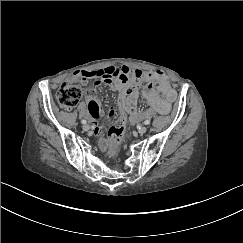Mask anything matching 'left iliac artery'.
Wrapping results in <instances>:
<instances>
[{"label": "left iliac artery", "mask_w": 243, "mask_h": 243, "mask_svg": "<svg viewBox=\"0 0 243 243\" xmlns=\"http://www.w3.org/2000/svg\"><path fill=\"white\" fill-rule=\"evenodd\" d=\"M144 124H145V125H149V124H150V120H145V121H144Z\"/></svg>", "instance_id": "left-iliac-artery-1"}]
</instances>
